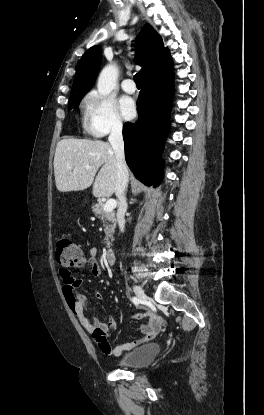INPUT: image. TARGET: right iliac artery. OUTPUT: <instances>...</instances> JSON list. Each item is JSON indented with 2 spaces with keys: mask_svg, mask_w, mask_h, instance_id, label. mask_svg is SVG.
I'll list each match as a JSON object with an SVG mask.
<instances>
[{
  "mask_svg": "<svg viewBox=\"0 0 264 415\" xmlns=\"http://www.w3.org/2000/svg\"><path fill=\"white\" fill-rule=\"evenodd\" d=\"M132 302H133L135 305H138L140 301H139V299H138V298L133 297V298H132Z\"/></svg>",
  "mask_w": 264,
  "mask_h": 415,
  "instance_id": "obj_1",
  "label": "right iliac artery"
}]
</instances>
